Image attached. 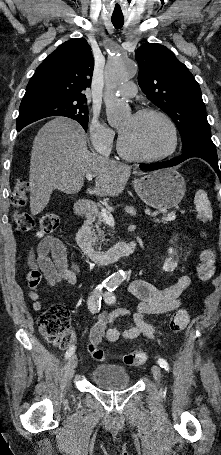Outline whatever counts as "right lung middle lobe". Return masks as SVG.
<instances>
[{"mask_svg": "<svg viewBox=\"0 0 221 455\" xmlns=\"http://www.w3.org/2000/svg\"><path fill=\"white\" fill-rule=\"evenodd\" d=\"M82 100L50 101L20 106L17 130L39 119L49 116H65L79 122L87 131L88 108Z\"/></svg>", "mask_w": 221, "mask_h": 455, "instance_id": "right-lung-middle-lobe-1", "label": "right lung middle lobe"}]
</instances>
